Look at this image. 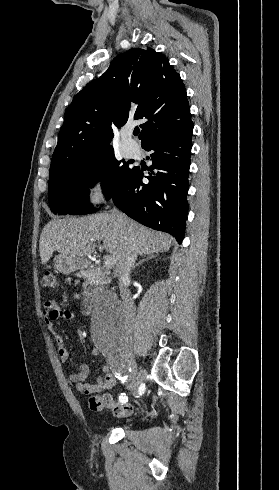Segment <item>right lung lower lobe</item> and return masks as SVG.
Instances as JSON below:
<instances>
[{
	"label": "right lung lower lobe",
	"mask_w": 279,
	"mask_h": 490,
	"mask_svg": "<svg viewBox=\"0 0 279 490\" xmlns=\"http://www.w3.org/2000/svg\"><path fill=\"white\" fill-rule=\"evenodd\" d=\"M193 123L168 135L142 144L153 165L148 183L143 171L134 167L123 185L113 195L115 205L134 220L155 230L184 238L188 213V174L192 148ZM153 176H152V175Z\"/></svg>",
	"instance_id": "obj_1"
}]
</instances>
